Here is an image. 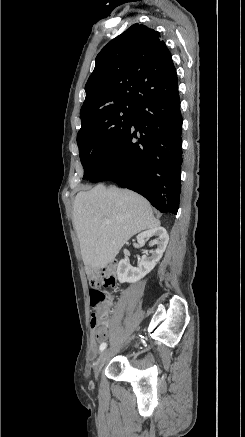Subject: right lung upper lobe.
I'll use <instances>...</instances> for the list:
<instances>
[{
  "label": "right lung upper lobe",
  "mask_w": 245,
  "mask_h": 437,
  "mask_svg": "<svg viewBox=\"0 0 245 437\" xmlns=\"http://www.w3.org/2000/svg\"><path fill=\"white\" fill-rule=\"evenodd\" d=\"M80 110L82 123L117 104L166 94L178 87L172 56L160 33L134 24L97 55Z\"/></svg>",
  "instance_id": "right-lung-upper-lobe-1"
}]
</instances>
